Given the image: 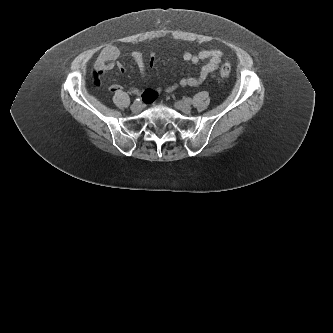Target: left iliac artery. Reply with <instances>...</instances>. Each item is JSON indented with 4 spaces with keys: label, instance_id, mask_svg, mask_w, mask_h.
<instances>
[{
    "label": "left iliac artery",
    "instance_id": "44dca946",
    "mask_svg": "<svg viewBox=\"0 0 333 333\" xmlns=\"http://www.w3.org/2000/svg\"><path fill=\"white\" fill-rule=\"evenodd\" d=\"M187 102H188L189 104H192V99H191V98H188V99H187Z\"/></svg>",
    "mask_w": 333,
    "mask_h": 333
}]
</instances>
